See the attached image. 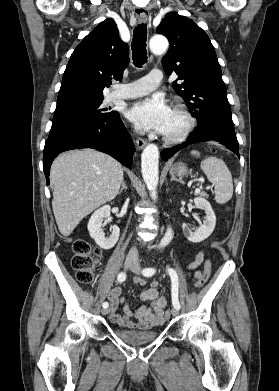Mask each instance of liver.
<instances>
[{"instance_id": "6515ba94", "label": "liver", "mask_w": 279, "mask_h": 391, "mask_svg": "<svg viewBox=\"0 0 279 391\" xmlns=\"http://www.w3.org/2000/svg\"><path fill=\"white\" fill-rule=\"evenodd\" d=\"M50 180L55 220L60 233L67 237L84 217L117 196L123 168L97 150H74L54 160Z\"/></svg>"}]
</instances>
